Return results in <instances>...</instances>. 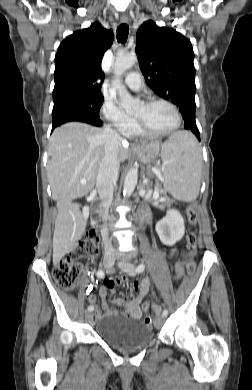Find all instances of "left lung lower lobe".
<instances>
[{"label": "left lung lower lobe", "mask_w": 252, "mask_h": 390, "mask_svg": "<svg viewBox=\"0 0 252 390\" xmlns=\"http://www.w3.org/2000/svg\"><path fill=\"white\" fill-rule=\"evenodd\" d=\"M184 128L191 130L197 138L200 140L199 130L197 128L196 122H195V114H189L184 117Z\"/></svg>", "instance_id": "0a47b994"}]
</instances>
